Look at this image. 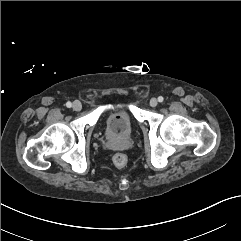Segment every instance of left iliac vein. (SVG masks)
<instances>
[{
	"mask_svg": "<svg viewBox=\"0 0 241 241\" xmlns=\"http://www.w3.org/2000/svg\"><path fill=\"white\" fill-rule=\"evenodd\" d=\"M157 104H158V101H157L156 98H152V99L150 100V106H152V107H156Z\"/></svg>",
	"mask_w": 241,
	"mask_h": 241,
	"instance_id": "1",
	"label": "left iliac vein"
}]
</instances>
